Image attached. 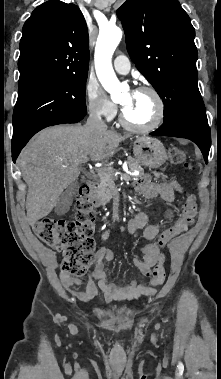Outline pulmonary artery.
<instances>
[{
  "label": "pulmonary artery",
  "mask_w": 221,
  "mask_h": 379,
  "mask_svg": "<svg viewBox=\"0 0 221 379\" xmlns=\"http://www.w3.org/2000/svg\"><path fill=\"white\" fill-rule=\"evenodd\" d=\"M114 68L120 74H127L130 71V61L125 55H119L114 60Z\"/></svg>",
  "instance_id": "1"
}]
</instances>
